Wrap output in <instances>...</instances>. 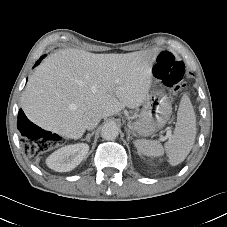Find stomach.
Returning <instances> with one entry per match:
<instances>
[{"label":"stomach","instance_id":"0dacf381","mask_svg":"<svg viewBox=\"0 0 227 227\" xmlns=\"http://www.w3.org/2000/svg\"><path fill=\"white\" fill-rule=\"evenodd\" d=\"M172 106L163 90L154 86L148 93L138 119L131 124L132 130L148 137L159 131L170 119Z\"/></svg>","mask_w":227,"mask_h":227}]
</instances>
